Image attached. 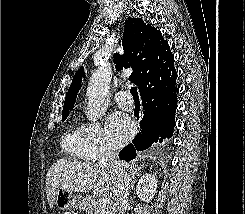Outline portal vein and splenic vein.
Here are the masks:
<instances>
[{"mask_svg":"<svg viewBox=\"0 0 245 214\" xmlns=\"http://www.w3.org/2000/svg\"><path fill=\"white\" fill-rule=\"evenodd\" d=\"M100 205L102 207H107L110 205V198L109 197H103L100 199Z\"/></svg>","mask_w":245,"mask_h":214,"instance_id":"obj_1","label":"portal vein and splenic vein"}]
</instances>
